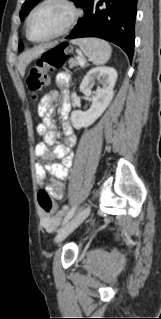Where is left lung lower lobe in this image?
Wrapping results in <instances>:
<instances>
[{
  "mask_svg": "<svg viewBox=\"0 0 161 319\" xmlns=\"http://www.w3.org/2000/svg\"><path fill=\"white\" fill-rule=\"evenodd\" d=\"M137 0H89L73 32L66 39L98 37L121 47L132 61Z\"/></svg>",
  "mask_w": 161,
  "mask_h": 319,
  "instance_id": "0a47b994",
  "label": "left lung lower lobe"
}]
</instances>
